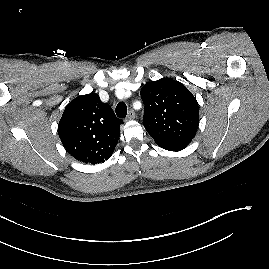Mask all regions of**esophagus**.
I'll use <instances>...</instances> for the list:
<instances>
[{
  "label": "esophagus",
  "mask_w": 269,
  "mask_h": 269,
  "mask_svg": "<svg viewBox=\"0 0 269 269\" xmlns=\"http://www.w3.org/2000/svg\"><path fill=\"white\" fill-rule=\"evenodd\" d=\"M134 118H135V113L132 109H130L127 114V120H132Z\"/></svg>",
  "instance_id": "esophagus-1"
}]
</instances>
